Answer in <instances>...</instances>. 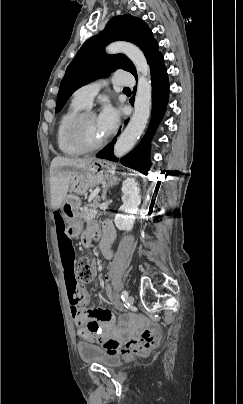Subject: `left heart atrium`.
<instances>
[{"instance_id": "obj_1", "label": "left heart atrium", "mask_w": 243, "mask_h": 404, "mask_svg": "<svg viewBox=\"0 0 243 404\" xmlns=\"http://www.w3.org/2000/svg\"><path fill=\"white\" fill-rule=\"evenodd\" d=\"M98 128L103 138L110 136L118 124V113L108 103L104 104L100 113L96 116Z\"/></svg>"}]
</instances>
